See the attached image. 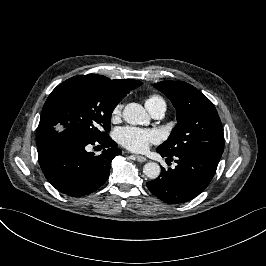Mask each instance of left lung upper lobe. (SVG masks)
Masks as SVG:
<instances>
[{"label":"left lung upper lobe","mask_w":266,"mask_h":266,"mask_svg":"<svg viewBox=\"0 0 266 266\" xmlns=\"http://www.w3.org/2000/svg\"><path fill=\"white\" fill-rule=\"evenodd\" d=\"M177 110V124L169 138L157 149L169 156L200 151L221 158L224 150L223 127L213 103L198 89L183 81L153 84Z\"/></svg>","instance_id":"1"}]
</instances>
